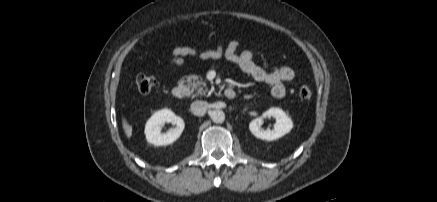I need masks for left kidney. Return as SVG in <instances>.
Listing matches in <instances>:
<instances>
[{
  "mask_svg": "<svg viewBox=\"0 0 437 202\" xmlns=\"http://www.w3.org/2000/svg\"><path fill=\"white\" fill-rule=\"evenodd\" d=\"M273 117L276 119L274 129L264 130L261 128L264 118ZM293 127L292 120L286 113L279 108H270L262 114L259 118L252 120L249 124L251 133L262 140L272 141L281 138L289 133Z\"/></svg>",
  "mask_w": 437,
  "mask_h": 202,
  "instance_id": "5707ae66",
  "label": "left kidney"
}]
</instances>
